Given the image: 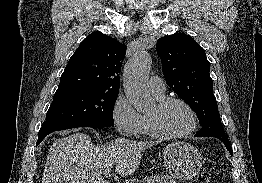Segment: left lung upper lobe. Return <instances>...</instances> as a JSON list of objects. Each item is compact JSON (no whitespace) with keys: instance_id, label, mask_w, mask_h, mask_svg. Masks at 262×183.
Wrapping results in <instances>:
<instances>
[{"instance_id":"obj_1","label":"left lung upper lobe","mask_w":262,"mask_h":183,"mask_svg":"<svg viewBox=\"0 0 262 183\" xmlns=\"http://www.w3.org/2000/svg\"><path fill=\"white\" fill-rule=\"evenodd\" d=\"M166 83L196 113L202 129L197 137H226L213 94L205 50L189 35L175 33L157 41Z\"/></svg>"}]
</instances>
